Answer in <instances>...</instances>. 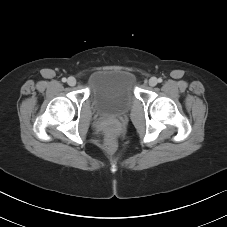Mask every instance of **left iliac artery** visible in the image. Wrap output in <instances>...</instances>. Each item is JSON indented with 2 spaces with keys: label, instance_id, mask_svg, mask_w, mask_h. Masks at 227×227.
Wrapping results in <instances>:
<instances>
[{
  "label": "left iliac artery",
  "instance_id": "left-iliac-artery-1",
  "mask_svg": "<svg viewBox=\"0 0 227 227\" xmlns=\"http://www.w3.org/2000/svg\"><path fill=\"white\" fill-rule=\"evenodd\" d=\"M163 80L162 78H158V82L161 83Z\"/></svg>",
  "mask_w": 227,
  "mask_h": 227
}]
</instances>
